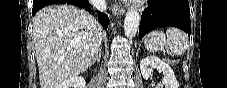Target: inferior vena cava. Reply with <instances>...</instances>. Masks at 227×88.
<instances>
[{
  "label": "inferior vena cava",
  "mask_w": 227,
  "mask_h": 88,
  "mask_svg": "<svg viewBox=\"0 0 227 88\" xmlns=\"http://www.w3.org/2000/svg\"><path fill=\"white\" fill-rule=\"evenodd\" d=\"M94 6L100 11H103V12L106 11V2H105V0H96L94 2Z\"/></svg>",
  "instance_id": "inferior-vena-cava-1"
}]
</instances>
